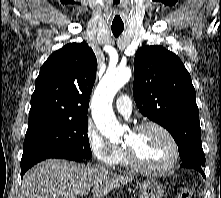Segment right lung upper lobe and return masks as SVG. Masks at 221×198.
<instances>
[{
	"label": "right lung upper lobe",
	"instance_id": "1",
	"mask_svg": "<svg viewBox=\"0 0 221 198\" xmlns=\"http://www.w3.org/2000/svg\"><path fill=\"white\" fill-rule=\"evenodd\" d=\"M97 59L86 43H70L43 64L31 97L29 122L43 118H86Z\"/></svg>",
	"mask_w": 221,
	"mask_h": 198
}]
</instances>
